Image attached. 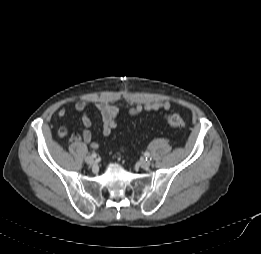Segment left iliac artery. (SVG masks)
<instances>
[{"instance_id": "1", "label": "left iliac artery", "mask_w": 261, "mask_h": 254, "mask_svg": "<svg viewBox=\"0 0 261 254\" xmlns=\"http://www.w3.org/2000/svg\"><path fill=\"white\" fill-rule=\"evenodd\" d=\"M144 155H145V157H146V160H147V159L149 158V156H150L149 152H145Z\"/></svg>"}]
</instances>
